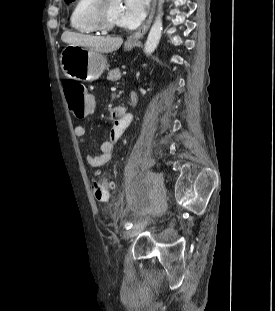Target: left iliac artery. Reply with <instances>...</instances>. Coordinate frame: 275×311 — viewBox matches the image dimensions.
Returning a JSON list of instances; mask_svg holds the SVG:
<instances>
[{"label": "left iliac artery", "instance_id": "obj_1", "mask_svg": "<svg viewBox=\"0 0 275 311\" xmlns=\"http://www.w3.org/2000/svg\"><path fill=\"white\" fill-rule=\"evenodd\" d=\"M132 226H133V224L131 222L125 223V228L126 229H130Z\"/></svg>", "mask_w": 275, "mask_h": 311}]
</instances>
